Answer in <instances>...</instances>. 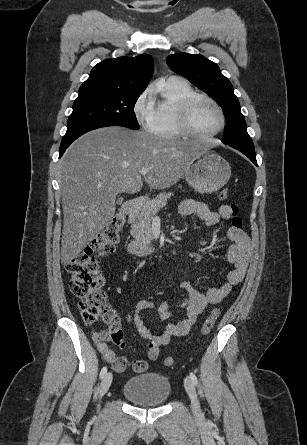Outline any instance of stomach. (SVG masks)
Masks as SVG:
<instances>
[{
    "label": "stomach",
    "mask_w": 307,
    "mask_h": 445,
    "mask_svg": "<svg viewBox=\"0 0 307 445\" xmlns=\"http://www.w3.org/2000/svg\"><path fill=\"white\" fill-rule=\"evenodd\" d=\"M185 178L200 194H211L222 188L231 176V166L215 150H200L185 168Z\"/></svg>",
    "instance_id": "0dacf381"
}]
</instances>
